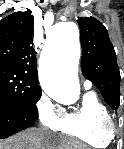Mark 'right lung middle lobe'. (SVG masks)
<instances>
[{
	"label": "right lung middle lobe",
	"instance_id": "1",
	"mask_svg": "<svg viewBox=\"0 0 124 149\" xmlns=\"http://www.w3.org/2000/svg\"><path fill=\"white\" fill-rule=\"evenodd\" d=\"M42 95L38 83L22 72L0 67V101L22 105L38 113L36 103Z\"/></svg>",
	"mask_w": 124,
	"mask_h": 149
}]
</instances>
